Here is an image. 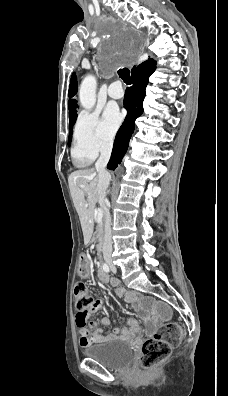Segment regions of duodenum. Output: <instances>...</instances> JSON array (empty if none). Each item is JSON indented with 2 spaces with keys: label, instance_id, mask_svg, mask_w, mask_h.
<instances>
[{
  "label": "duodenum",
  "instance_id": "410a0bca",
  "mask_svg": "<svg viewBox=\"0 0 228 396\" xmlns=\"http://www.w3.org/2000/svg\"><path fill=\"white\" fill-rule=\"evenodd\" d=\"M101 253V250H99V254ZM98 275H99V278H100V280L101 281H106L107 280V277H106V275L103 273V271L101 270V269H99V271H98Z\"/></svg>",
  "mask_w": 228,
  "mask_h": 396
}]
</instances>
